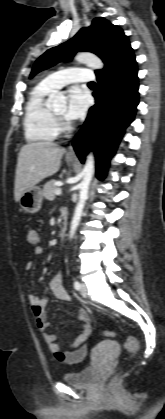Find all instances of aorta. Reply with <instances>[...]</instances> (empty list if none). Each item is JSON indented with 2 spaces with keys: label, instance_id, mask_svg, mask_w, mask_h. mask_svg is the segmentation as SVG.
Returning a JSON list of instances; mask_svg holds the SVG:
<instances>
[{
  "label": "aorta",
  "instance_id": "aorta-1",
  "mask_svg": "<svg viewBox=\"0 0 165 419\" xmlns=\"http://www.w3.org/2000/svg\"><path fill=\"white\" fill-rule=\"evenodd\" d=\"M75 60L78 63H82V64H86L87 66L93 68V69H102L104 67V64L102 62V60L96 56L93 53H89V52H81L78 53L75 56ZM51 103L52 106L57 108V107H62L66 104V99L65 96L62 95L61 93H58L56 95H53L51 97ZM83 180L80 183V191H79V200L78 203L76 205L75 208V212H74V216L73 219L71 221V227H70V232H69V237L73 238L75 231L79 225L81 216H82V212H83V208L85 205V202L88 198V192H89V186L94 174V156L93 153H90L87 156L86 162H85V166L83 168Z\"/></svg>",
  "mask_w": 165,
  "mask_h": 419
}]
</instances>
